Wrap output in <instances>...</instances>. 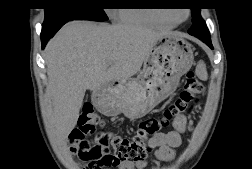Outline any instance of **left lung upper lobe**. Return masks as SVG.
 Returning a JSON list of instances; mask_svg holds the SVG:
<instances>
[{"label":"left lung upper lobe","instance_id":"1","mask_svg":"<svg viewBox=\"0 0 252 169\" xmlns=\"http://www.w3.org/2000/svg\"><path fill=\"white\" fill-rule=\"evenodd\" d=\"M192 10V27L191 31L197 32L199 30H208L207 26L200 15V8H193ZM210 34V33H209Z\"/></svg>","mask_w":252,"mask_h":169}]
</instances>
